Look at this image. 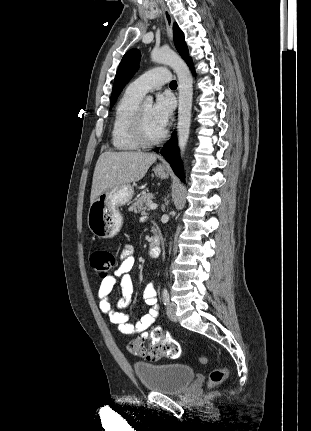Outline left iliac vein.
Here are the masks:
<instances>
[{
	"instance_id": "4c4485c4",
	"label": "left iliac vein",
	"mask_w": 311,
	"mask_h": 431,
	"mask_svg": "<svg viewBox=\"0 0 311 431\" xmlns=\"http://www.w3.org/2000/svg\"><path fill=\"white\" fill-rule=\"evenodd\" d=\"M177 307L173 302H169L167 304V316L171 321L176 322L177 316H176Z\"/></svg>"
}]
</instances>
